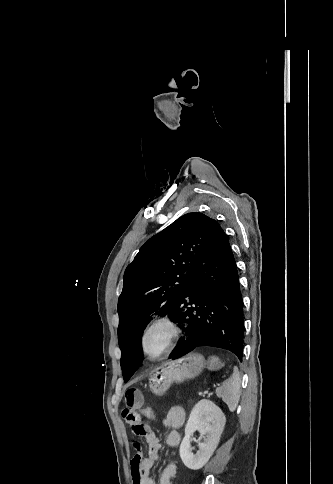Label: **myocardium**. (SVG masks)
<instances>
[{"label": "myocardium", "mask_w": 333, "mask_h": 484, "mask_svg": "<svg viewBox=\"0 0 333 484\" xmlns=\"http://www.w3.org/2000/svg\"><path fill=\"white\" fill-rule=\"evenodd\" d=\"M160 327L166 329L167 335L162 346L156 352L152 353L147 349V338L154 329ZM180 335L181 328L175 319L168 315L159 316L152 320L143 330L140 340L141 352L150 360H158L171 350Z\"/></svg>", "instance_id": "f54148a6"}]
</instances>
